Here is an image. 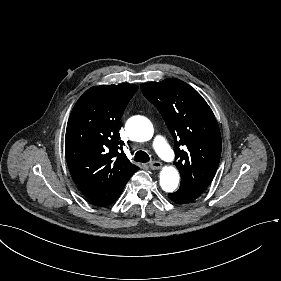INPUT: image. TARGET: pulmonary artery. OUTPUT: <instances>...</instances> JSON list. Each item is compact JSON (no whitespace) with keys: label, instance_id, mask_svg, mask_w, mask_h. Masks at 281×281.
Here are the masks:
<instances>
[{"label":"pulmonary artery","instance_id":"pulmonary-artery-1","mask_svg":"<svg viewBox=\"0 0 281 281\" xmlns=\"http://www.w3.org/2000/svg\"><path fill=\"white\" fill-rule=\"evenodd\" d=\"M153 146L167 162H174L177 159V152L163 136H156L153 139Z\"/></svg>","mask_w":281,"mask_h":281}]
</instances>
